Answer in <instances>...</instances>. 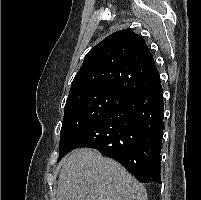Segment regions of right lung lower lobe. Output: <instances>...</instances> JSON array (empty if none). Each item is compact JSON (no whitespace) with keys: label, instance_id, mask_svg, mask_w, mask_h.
Wrapping results in <instances>:
<instances>
[{"label":"right lung lower lobe","instance_id":"98d812e1","mask_svg":"<svg viewBox=\"0 0 201 200\" xmlns=\"http://www.w3.org/2000/svg\"><path fill=\"white\" fill-rule=\"evenodd\" d=\"M163 110L160 82L88 125L69 141L65 152L78 147L97 149L122 164L138 181L160 184Z\"/></svg>","mask_w":201,"mask_h":200}]
</instances>
